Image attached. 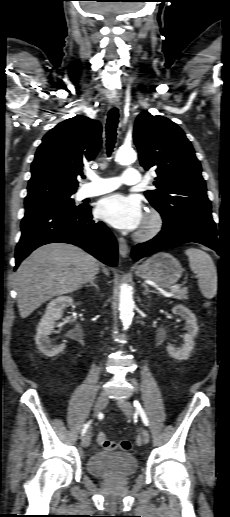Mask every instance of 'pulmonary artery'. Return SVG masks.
Wrapping results in <instances>:
<instances>
[{"label": "pulmonary artery", "mask_w": 230, "mask_h": 517, "mask_svg": "<svg viewBox=\"0 0 230 517\" xmlns=\"http://www.w3.org/2000/svg\"><path fill=\"white\" fill-rule=\"evenodd\" d=\"M91 182L84 189L85 197H93L109 193L117 189L121 183L125 185H137L141 181V176L136 168H126L121 182L118 178H106L96 174L90 175Z\"/></svg>", "instance_id": "obj_1"}]
</instances>
